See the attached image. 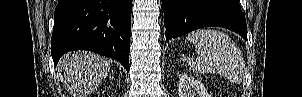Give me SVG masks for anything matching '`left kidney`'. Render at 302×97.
<instances>
[{
    "mask_svg": "<svg viewBox=\"0 0 302 97\" xmlns=\"http://www.w3.org/2000/svg\"><path fill=\"white\" fill-rule=\"evenodd\" d=\"M179 97H212L205 86L193 76L184 73L178 83Z\"/></svg>",
    "mask_w": 302,
    "mask_h": 97,
    "instance_id": "1",
    "label": "left kidney"
}]
</instances>
